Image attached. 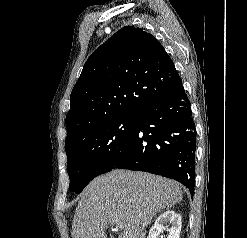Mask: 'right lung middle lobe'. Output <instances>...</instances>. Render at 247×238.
<instances>
[{"mask_svg":"<svg viewBox=\"0 0 247 238\" xmlns=\"http://www.w3.org/2000/svg\"><path fill=\"white\" fill-rule=\"evenodd\" d=\"M138 117L136 113L108 120L65 146L71 191L80 193L93 178L113 169Z\"/></svg>","mask_w":247,"mask_h":238,"instance_id":"right-lung-middle-lobe-1","label":"right lung middle lobe"}]
</instances>
